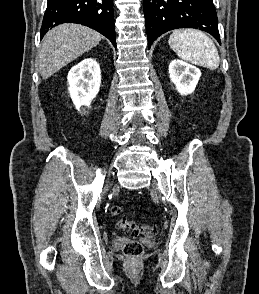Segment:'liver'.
I'll return each instance as SVG.
<instances>
[{
  "label": "liver",
  "instance_id": "liver-1",
  "mask_svg": "<svg viewBox=\"0 0 259 294\" xmlns=\"http://www.w3.org/2000/svg\"><path fill=\"white\" fill-rule=\"evenodd\" d=\"M102 35L79 24L59 25L44 36L38 55L39 71L48 79L62 67L99 44Z\"/></svg>",
  "mask_w": 259,
  "mask_h": 294
}]
</instances>
